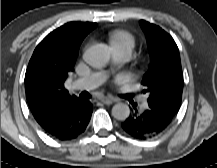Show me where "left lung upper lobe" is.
Wrapping results in <instances>:
<instances>
[{
	"label": "left lung upper lobe",
	"mask_w": 217,
	"mask_h": 168,
	"mask_svg": "<svg viewBox=\"0 0 217 168\" xmlns=\"http://www.w3.org/2000/svg\"><path fill=\"white\" fill-rule=\"evenodd\" d=\"M140 26L147 39L150 67L144 75L143 91L148 102L164 106L176 113L180 107L183 74L178 47L173 38L159 26L141 20Z\"/></svg>",
	"instance_id": "left-lung-upper-lobe-1"
}]
</instances>
